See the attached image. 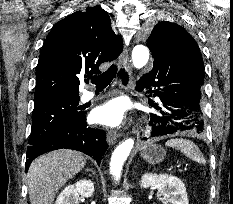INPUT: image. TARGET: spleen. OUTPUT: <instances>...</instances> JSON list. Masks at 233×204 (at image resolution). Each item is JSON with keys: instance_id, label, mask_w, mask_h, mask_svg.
<instances>
[{"instance_id": "3e777b00", "label": "spleen", "mask_w": 233, "mask_h": 204, "mask_svg": "<svg viewBox=\"0 0 233 204\" xmlns=\"http://www.w3.org/2000/svg\"><path fill=\"white\" fill-rule=\"evenodd\" d=\"M165 145L167 147H172L181 151L186 157H188L189 159L195 162L201 164L206 163L198 147L190 140L182 139V138L170 139L165 143Z\"/></svg>"}]
</instances>
